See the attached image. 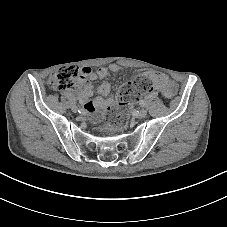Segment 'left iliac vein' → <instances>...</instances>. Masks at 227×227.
Segmentation results:
<instances>
[{
    "label": "left iliac vein",
    "instance_id": "1",
    "mask_svg": "<svg viewBox=\"0 0 227 227\" xmlns=\"http://www.w3.org/2000/svg\"><path fill=\"white\" fill-rule=\"evenodd\" d=\"M147 115V111L145 109H141L138 111V113L135 115L136 118L142 119L145 118Z\"/></svg>",
    "mask_w": 227,
    "mask_h": 227
}]
</instances>
